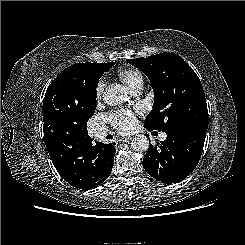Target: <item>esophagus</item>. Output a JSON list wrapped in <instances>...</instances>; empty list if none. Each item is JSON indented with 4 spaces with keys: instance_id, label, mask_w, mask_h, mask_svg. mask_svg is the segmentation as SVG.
I'll return each mask as SVG.
<instances>
[{
    "instance_id": "1",
    "label": "esophagus",
    "mask_w": 245,
    "mask_h": 245,
    "mask_svg": "<svg viewBox=\"0 0 245 245\" xmlns=\"http://www.w3.org/2000/svg\"><path fill=\"white\" fill-rule=\"evenodd\" d=\"M132 139V137H128V138H125L124 140H122V141H124V142H128V141H130Z\"/></svg>"
}]
</instances>
